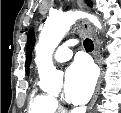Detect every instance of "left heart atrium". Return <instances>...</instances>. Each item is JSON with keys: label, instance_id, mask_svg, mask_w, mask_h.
I'll return each mask as SVG.
<instances>
[{"label": "left heart atrium", "instance_id": "39dd6f15", "mask_svg": "<svg viewBox=\"0 0 121 113\" xmlns=\"http://www.w3.org/2000/svg\"><path fill=\"white\" fill-rule=\"evenodd\" d=\"M95 84V71L86 60L74 62L65 73V97L73 104H84Z\"/></svg>", "mask_w": 121, "mask_h": 113}]
</instances>
